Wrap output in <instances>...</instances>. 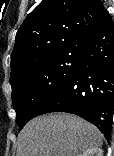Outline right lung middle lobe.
<instances>
[{"label":"right lung middle lobe","mask_w":114,"mask_h":156,"mask_svg":"<svg viewBox=\"0 0 114 156\" xmlns=\"http://www.w3.org/2000/svg\"><path fill=\"white\" fill-rule=\"evenodd\" d=\"M80 46L44 59L10 82L12 104L20 129L50 104L69 84L80 66Z\"/></svg>","instance_id":"right-lung-middle-lobe-1"}]
</instances>
